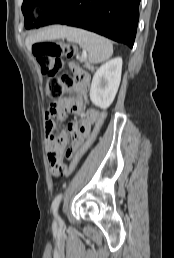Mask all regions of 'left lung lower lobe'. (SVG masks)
Segmentation results:
<instances>
[{"label": "left lung lower lobe", "instance_id": "1", "mask_svg": "<svg viewBox=\"0 0 174 258\" xmlns=\"http://www.w3.org/2000/svg\"><path fill=\"white\" fill-rule=\"evenodd\" d=\"M140 0H63L42 26L83 28L133 47Z\"/></svg>", "mask_w": 174, "mask_h": 258}]
</instances>
